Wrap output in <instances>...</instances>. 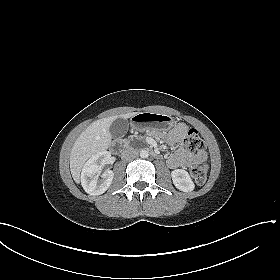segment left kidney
<instances>
[{"mask_svg": "<svg viewBox=\"0 0 280 280\" xmlns=\"http://www.w3.org/2000/svg\"><path fill=\"white\" fill-rule=\"evenodd\" d=\"M173 184L175 187L184 192H191L194 190V183L187 171L176 169L171 173Z\"/></svg>", "mask_w": 280, "mask_h": 280, "instance_id": "1", "label": "left kidney"}]
</instances>
